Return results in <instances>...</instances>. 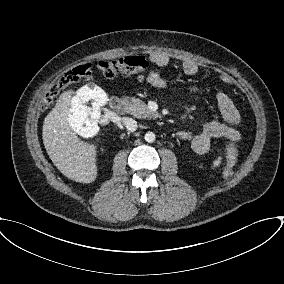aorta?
Returning a JSON list of instances; mask_svg holds the SVG:
<instances>
[{"instance_id":"obj_1","label":"aorta","mask_w":284,"mask_h":284,"mask_svg":"<svg viewBox=\"0 0 284 284\" xmlns=\"http://www.w3.org/2000/svg\"><path fill=\"white\" fill-rule=\"evenodd\" d=\"M156 137L155 134L153 132H147L145 134V140L148 143H153L155 141Z\"/></svg>"}]
</instances>
